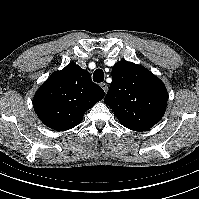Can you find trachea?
Instances as JSON below:
<instances>
[{
    "label": "trachea",
    "mask_w": 199,
    "mask_h": 199,
    "mask_svg": "<svg viewBox=\"0 0 199 199\" xmlns=\"http://www.w3.org/2000/svg\"><path fill=\"white\" fill-rule=\"evenodd\" d=\"M93 81L100 83L104 81V72L101 69H96L93 73Z\"/></svg>",
    "instance_id": "obj_1"
}]
</instances>
